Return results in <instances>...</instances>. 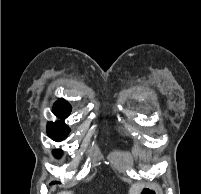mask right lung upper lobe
Listing matches in <instances>:
<instances>
[{"instance_id":"right-lung-upper-lobe-1","label":"right lung upper lobe","mask_w":201,"mask_h":194,"mask_svg":"<svg viewBox=\"0 0 201 194\" xmlns=\"http://www.w3.org/2000/svg\"><path fill=\"white\" fill-rule=\"evenodd\" d=\"M53 111L66 114L68 116L71 111V105L67 101H63V99L61 98L54 104Z\"/></svg>"}]
</instances>
